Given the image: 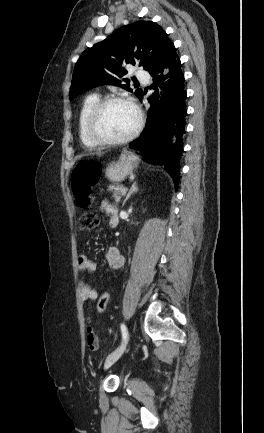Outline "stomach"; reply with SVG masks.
<instances>
[{
    "label": "stomach",
    "mask_w": 264,
    "mask_h": 433,
    "mask_svg": "<svg viewBox=\"0 0 264 433\" xmlns=\"http://www.w3.org/2000/svg\"><path fill=\"white\" fill-rule=\"evenodd\" d=\"M138 157L129 151H123L117 162H111L106 167L105 176L113 183H119L125 180L133 173L138 164Z\"/></svg>",
    "instance_id": "obj_1"
}]
</instances>
